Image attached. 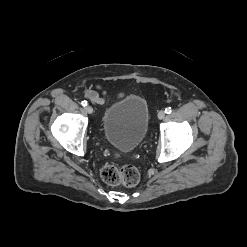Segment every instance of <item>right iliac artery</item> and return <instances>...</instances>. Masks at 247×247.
<instances>
[{
    "mask_svg": "<svg viewBox=\"0 0 247 247\" xmlns=\"http://www.w3.org/2000/svg\"><path fill=\"white\" fill-rule=\"evenodd\" d=\"M81 104L83 105V106H87V101H85V100H83L82 102H81Z\"/></svg>",
    "mask_w": 247,
    "mask_h": 247,
    "instance_id": "obj_1",
    "label": "right iliac artery"
}]
</instances>
